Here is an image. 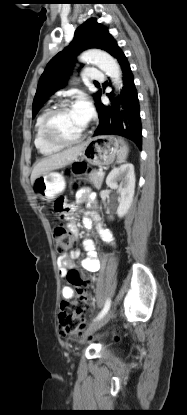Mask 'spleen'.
Masks as SVG:
<instances>
[{
	"instance_id": "1",
	"label": "spleen",
	"mask_w": 187,
	"mask_h": 415,
	"mask_svg": "<svg viewBox=\"0 0 187 415\" xmlns=\"http://www.w3.org/2000/svg\"><path fill=\"white\" fill-rule=\"evenodd\" d=\"M119 143L121 144L120 146V150L117 154V163H123L125 162L127 156H128V152H129V148L128 145L126 144V142L119 138Z\"/></svg>"
}]
</instances>
